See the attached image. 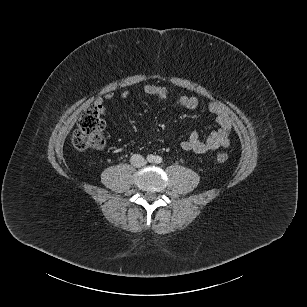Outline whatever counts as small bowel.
<instances>
[{"instance_id":"obj_1","label":"small bowel","mask_w":307,"mask_h":307,"mask_svg":"<svg viewBox=\"0 0 307 307\" xmlns=\"http://www.w3.org/2000/svg\"><path fill=\"white\" fill-rule=\"evenodd\" d=\"M143 91L150 96H156L161 99L170 97V91L163 86L147 84ZM129 96L128 91L120 94V97L125 99ZM114 94L108 93L103 98H97L94 106L99 109L100 114L104 112V104L111 101ZM179 103L184 108L193 110L198 108L199 100L196 97L182 95L179 97ZM207 110L214 115L217 129L210 133L206 139H201L197 132H191L182 142L181 147L185 151H191L196 154H205L210 151H215L220 148H227L230 145L229 135L232 130L230 118L226 115L222 107L216 102H210L207 105Z\"/></svg>"}]
</instances>
